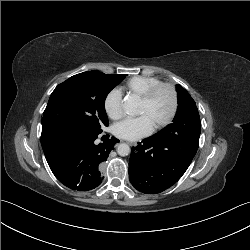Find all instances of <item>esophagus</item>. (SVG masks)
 <instances>
[{
    "mask_svg": "<svg viewBox=\"0 0 250 250\" xmlns=\"http://www.w3.org/2000/svg\"><path fill=\"white\" fill-rule=\"evenodd\" d=\"M127 144L130 146H135V143L127 142Z\"/></svg>",
    "mask_w": 250,
    "mask_h": 250,
    "instance_id": "esophagus-1",
    "label": "esophagus"
}]
</instances>
